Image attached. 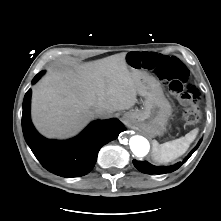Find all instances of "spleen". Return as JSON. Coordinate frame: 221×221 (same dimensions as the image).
I'll use <instances>...</instances> for the list:
<instances>
[{"label":"spleen","mask_w":221,"mask_h":221,"mask_svg":"<svg viewBox=\"0 0 221 221\" xmlns=\"http://www.w3.org/2000/svg\"><path fill=\"white\" fill-rule=\"evenodd\" d=\"M198 129H193L184 137L159 144L156 140L152 142V158L158 163H168L182 156L195 140Z\"/></svg>","instance_id":"obj_1"}]
</instances>
